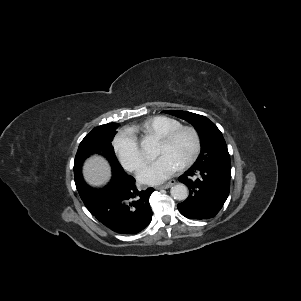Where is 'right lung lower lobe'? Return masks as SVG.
I'll list each match as a JSON object with an SVG mask.
<instances>
[{
  "label": "right lung lower lobe",
  "mask_w": 301,
  "mask_h": 301,
  "mask_svg": "<svg viewBox=\"0 0 301 301\" xmlns=\"http://www.w3.org/2000/svg\"><path fill=\"white\" fill-rule=\"evenodd\" d=\"M75 184L89 212L113 232L137 234L151 222L149 197L154 189L138 191L135 179L122 168H113L110 182L102 188L77 178Z\"/></svg>",
  "instance_id": "1"
}]
</instances>
